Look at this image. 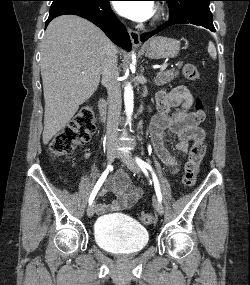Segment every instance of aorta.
I'll list each match as a JSON object with an SVG mask.
<instances>
[{"mask_svg": "<svg viewBox=\"0 0 250 285\" xmlns=\"http://www.w3.org/2000/svg\"><path fill=\"white\" fill-rule=\"evenodd\" d=\"M124 102H125V111L128 117V120H131V115L133 112V89L130 83H128L125 87L124 91Z\"/></svg>", "mask_w": 250, "mask_h": 285, "instance_id": "obj_1", "label": "aorta"}]
</instances>
